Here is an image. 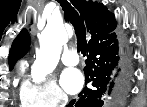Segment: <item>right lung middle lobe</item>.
I'll return each instance as SVG.
<instances>
[{
    "label": "right lung middle lobe",
    "mask_w": 147,
    "mask_h": 107,
    "mask_svg": "<svg viewBox=\"0 0 147 107\" xmlns=\"http://www.w3.org/2000/svg\"><path fill=\"white\" fill-rule=\"evenodd\" d=\"M10 68V70H12L13 69V67L11 66V67H9Z\"/></svg>",
    "instance_id": "1"
}]
</instances>
